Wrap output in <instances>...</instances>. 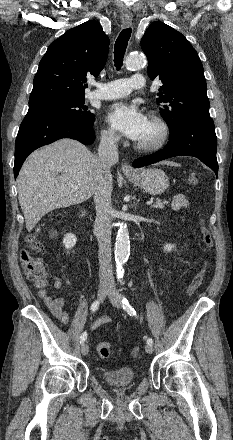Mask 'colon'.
Returning a JSON list of instances; mask_svg holds the SVG:
<instances>
[{
  "mask_svg": "<svg viewBox=\"0 0 233 440\" xmlns=\"http://www.w3.org/2000/svg\"><path fill=\"white\" fill-rule=\"evenodd\" d=\"M188 182L190 185L193 186L198 185L199 178L196 174L192 173L188 178ZM199 225H200V230L204 245L206 249L210 251L213 247V240L209 229L205 225V219L203 215H200L199 217ZM26 244H27L26 249H23L20 253V261L22 264L24 274L29 280L42 286L46 282L45 269L42 262L36 257H34V254L41 251L42 245L36 239L35 235H29L26 239ZM206 267H207V263L203 265V267L196 273V275L190 281L186 290L187 295L189 296L193 295L201 286L205 276ZM97 352L102 359H109L112 356L113 349L110 343L99 342L97 345ZM132 355L134 357L139 355V351L137 348H134L132 350Z\"/></svg>",
  "mask_w": 233,
  "mask_h": 440,
  "instance_id": "obj_1",
  "label": "colon"
}]
</instances>
